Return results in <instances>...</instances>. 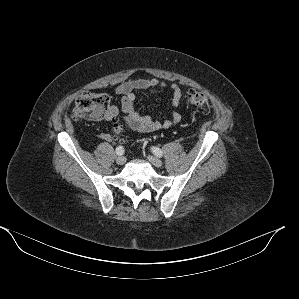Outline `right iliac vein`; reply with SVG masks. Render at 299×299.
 I'll return each mask as SVG.
<instances>
[{
    "mask_svg": "<svg viewBox=\"0 0 299 299\" xmlns=\"http://www.w3.org/2000/svg\"><path fill=\"white\" fill-rule=\"evenodd\" d=\"M126 162V158L124 156H119L117 159H116V163L118 165H123L124 163Z\"/></svg>",
    "mask_w": 299,
    "mask_h": 299,
    "instance_id": "right-iliac-vein-1",
    "label": "right iliac vein"
}]
</instances>
